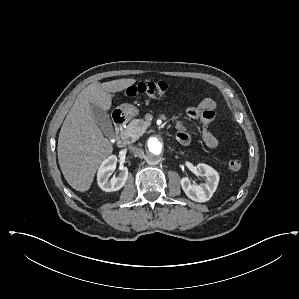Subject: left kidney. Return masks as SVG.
<instances>
[{
	"mask_svg": "<svg viewBox=\"0 0 299 299\" xmlns=\"http://www.w3.org/2000/svg\"><path fill=\"white\" fill-rule=\"evenodd\" d=\"M197 170L206 177L205 183L192 184L187 177H183L180 184L188 198L195 202H206L217 189L219 174L215 169L203 163L197 165Z\"/></svg>",
	"mask_w": 299,
	"mask_h": 299,
	"instance_id": "obj_1",
	"label": "left kidney"
}]
</instances>
